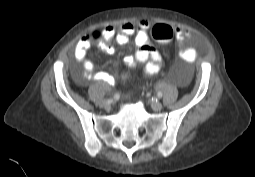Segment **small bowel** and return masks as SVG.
<instances>
[{"label":"small bowel","mask_w":255,"mask_h":177,"mask_svg":"<svg viewBox=\"0 0 255 177\" xmlns=\"http://www.w3.org/2000/svg\"><path fill=\"white\" fill-rule=\"evenodd\" d=\"M152 21L148 19H140L136 22H123L118 30L114 26H105L100 33H90L83 37L74 48V58L77 64L81 66V75L88 80H95L106 85L112 86L117 82V78L107 72L97 71L94 63L88 58V50L93 43H97L99 48L107 54H113L114 48L109 41L115 39L119 45L128 43L130 37L134 36L137 50L134 54L124 57V64L133 68L137 63L144 64V73L147 76L157 74L162 67L160 53L152 47L149 41V32L152 27ZM175 38L178 43L191 37L190 31L183 27L175 28ZM92 34L97 38L92 39ZM196 51L194 49H185L179 52V58L187 65L192 64L196 59ZM76 79L79 83L82 80L75 71Z\"/></svg>","instance_id":"small-bowel-1"}]
</instances>
